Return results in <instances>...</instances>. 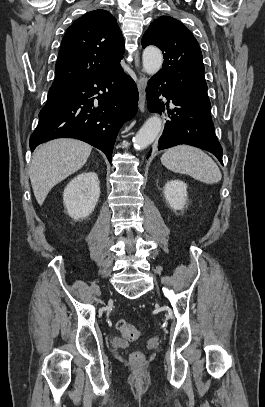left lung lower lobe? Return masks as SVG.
<instances>
[{
    "instance_id": "left-lung-lower-lobe-1",
    "label": "left lung lower lobe",
    "mask_w": 265,
    "mask_h": 407,
    "mask_svg": "<svg viewBox=\"0 0 265 407\" xmlns=\"http://www.w3.org/2000/svg\"><path fill=\"white\" fill-rule=\"evenodd\" d=\"M160 95L165 96L168 100L167 108H169V103L174 108L172 111L168 110L163 136L157 145L158 150L179 144H188L210 151L223 164V151L214 132L211 110L184 96L157 73L150 79L146 88L148 108L151 112L161 114V110H164V104L159 99Z\"/></svg>"
}]
</instances>
